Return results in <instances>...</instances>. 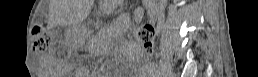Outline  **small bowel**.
Returning a JSON list of instances; mask_svg holds the SVG:
<instances>
[{
	"label": "small bowel",
	"instance_id": "c3829d8e",
	"mask_svg": "<svg viewBox=\"0 0 258 77\" xmlns=\"http://www.w3.org/2000/svg\"><path fill=\"white\" fill-rule=\"evenodd\" d=\"M144 70H145V72H144V73H146V74L151 73V72L148 70V67H147V66H145V65H144Z\"/></svg>",
	"mask_w": 258,
	"mask_h": 77
}]
</instances>
